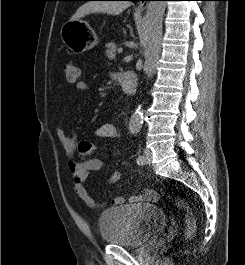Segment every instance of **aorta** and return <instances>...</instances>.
<instances>
[{
	"instance_id": "aorta-1",
	"label": "aorta",
	"mask_w": 245,
	"mask_h": 265,
	"mask_svg": "<svg viewBox=\"0 0 245 265\" xmlns=\"http://www.w3.org/2000/svg\"><path fill=\"white\" fill-rule=\"evenodd\" d=\"M166 9V1H150L147 6L145 31L143 40L144 50V72L147 78H152L156 72L162 45V22ZM143 110L141 106L131 115L129 130L132 133L139 132L142 126Z\"/></svg>"
}]
</instances>
